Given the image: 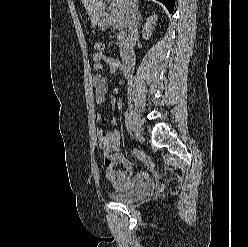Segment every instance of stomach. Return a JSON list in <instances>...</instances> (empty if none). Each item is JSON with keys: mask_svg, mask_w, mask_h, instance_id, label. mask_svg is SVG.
Wrapping results in <instances>:
<instances>
[{"mask_svg": "<svg viewBox=\"0 0 248 247\" xmlns=\"http://www.w3.org/2000/svg\"><path fill=\"white\" fill-rule=\"evenodd\" d=\"M102 18V17H101ZM99 20L98 22V27L101 29V30H104L108 27V24L105 20L101 19Z\"/></svg>", "mask_w": 248, "mask_h": 247, "instance_id": "1", "label": "stomach"}]
</instances>
